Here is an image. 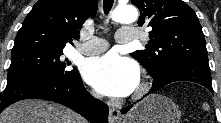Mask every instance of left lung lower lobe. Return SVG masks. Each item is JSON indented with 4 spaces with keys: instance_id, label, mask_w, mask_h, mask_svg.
<instances>
[{
    "instance_id": "1",
    "label": "left lung lower lobe",
    "mask_w": 221,
    "mask_h": 123,
    "mask_svg": "<svg viewBox=\"0 0 221 123\" xmlns=\"http://www.w3.org/2000/svg\"><path fill=\"white\" fill-rule=\"evenodd\" d=\"M175 81L196 82L213 92L210 68L199 64L185 63L164 69L156 78H154L153 86L148 94ZM132 106L133 105L123 108L121 112L125 114Z\"/></svg>"
}]
</instances>
